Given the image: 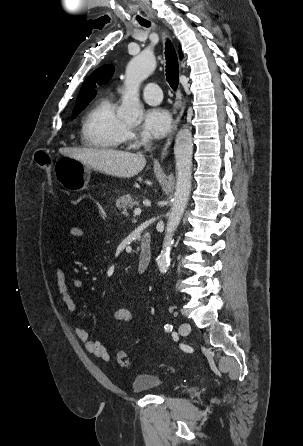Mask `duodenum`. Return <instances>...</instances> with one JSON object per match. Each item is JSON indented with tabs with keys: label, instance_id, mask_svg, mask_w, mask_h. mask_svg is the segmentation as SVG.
Segmentation results:
<instances>
[{
	"label": "duodenum",
	"instance_id": "obj_1",
	"mask_svg": "<svg viewBox=\"0 0 303 446\" xmlns=\"http://www.w3.org/2000/svg\"><path fill=\"white\" fill-rule=\"evenodd\" d=\"M152 259V244L149 234L145 233L140 239V251L138 255L137 270L139 273L145 272Z\"/></svg>",
	"mask_w": 303,
	"mask_h": 446
}]
</instances>
